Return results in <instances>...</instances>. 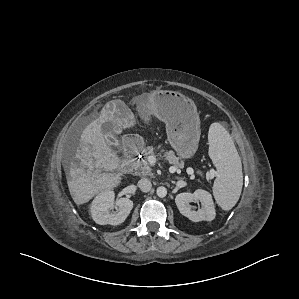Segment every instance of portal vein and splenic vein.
I'll list each match as a JSON object with an SVG mask.
<instances>
[{"mask_svg":"<svg viewBox=\"0 0 299 299\" xmlns=\"http://www.w3.org/2000/svg\"><path fill=\"white\" fill-rule=\"evenodd\" d=\"M150 160H151V161H150L151 163H155V162H156V159H155L153 156L150 157ZM169 171H170L171 173H174V172L176 171V168H175L174 166H171V167L169 168ZM187 173L190 174V175H193V174H194V170H193V168H191V167L187 168Z\"/></svg>","mask_w":299,"mask_h":299,"instance_id":"18ae733b","label":"portal vein and splenic vein"}]
</instances>
